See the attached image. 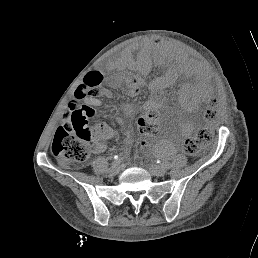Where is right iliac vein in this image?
Segmentation results:
<instances>
[{
  "instance_id": "1",
  "label": "right iliac vein",
  "mask_w": 258,
  "mask_h": 258,
  "mask_svg": "<svg viewBox=\"0 0 258 258\" xmlns=\"http://www.w3.org/2000/svg\"><path fill=\"white\" fill-rule=\"evenodd\" d=\"M119 166L118 165H114V166H112V168H111V173H113V174H117L118 172H119Z\"/></svg>"
}]
</instances>
